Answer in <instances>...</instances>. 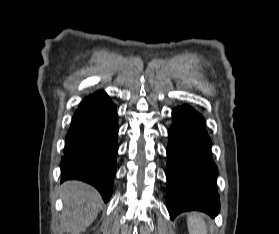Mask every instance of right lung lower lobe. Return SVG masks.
I'll return each mask as SVG.
<instances>
[{"label": "right lung lower lobe", "instance_id": "obj_1", "mask_svg": "<svg viewBox=\"0 0 279 234\" xmlns=\"http://www.w3.org/2000/svg\"><path fill=\"white\" fill-rule=\"evenodd\" d=\"M116 106L104 91L86 97L73 115L61 161V180L78 179L110 199L118 151Z\"/></svg>", "mask_w": 279, "mask_h": 234}]
</instances>
